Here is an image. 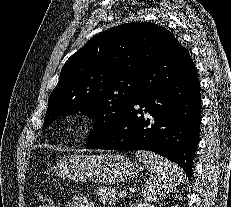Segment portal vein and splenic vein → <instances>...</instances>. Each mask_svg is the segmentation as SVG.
<instances>
[{"label": "portal vein and splenic vein", "instance_id": "1", "mask_svg": "<svg viewBox=\"0 0 231 207\" xmlns=\"http://www.w3.org/2000/svg\"><path fill=\"white\" fill-rule=\"evenodd\" d=\"M119 196L120 197L126 196V191L125 190L120 191Z\"/></svg>", "mask_w": 231, "mask_h": 207}]
</instances>
